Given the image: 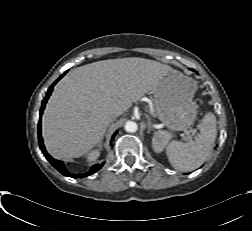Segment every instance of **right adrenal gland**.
Instances as JSON below:
<instances>
[{
  "label": "right adrenal gland",
  "mask_w": 252,
  "mask_h": 231,
  "mask_svg": "<svg viewBox=\"0 0 252 231\" xmlns=\"http://www.w3.org/2000/svg\"><path fill=\"white\" fill-rule=\"evenodd\" d=\"M101 143H102V141L100 142L99 147H101Z\"/></svg>",
  "instance_id": "1"
}]
</instances>
